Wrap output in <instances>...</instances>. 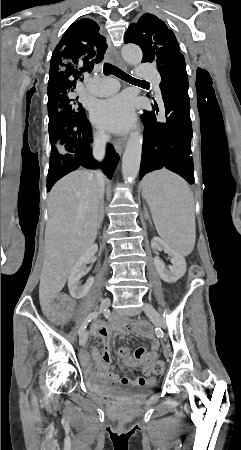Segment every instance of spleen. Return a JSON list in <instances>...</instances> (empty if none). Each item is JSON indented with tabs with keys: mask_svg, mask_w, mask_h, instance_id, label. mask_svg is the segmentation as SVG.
Wrapping results in <instances>:
<instances>
[{
	"mask_svg": "<svg viewBox=\"0 0 241 450\" xmlns=\"http://www.w3.org/2000/svg\"><path fill=\"white\" fill-rule=\"evenodd\" d=\"M141 186L159 236L174 252L189 256L195 246V216L187 182L169 170H156L143 178Z\"/></svg>",
	"mask_w": 241,
	"mask_h": 450,
	"instance_id": "obj_1",
	"label": "spleen"
}]
</instances>
